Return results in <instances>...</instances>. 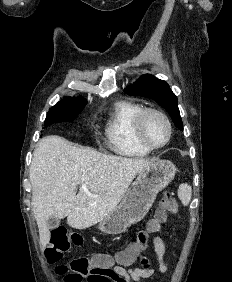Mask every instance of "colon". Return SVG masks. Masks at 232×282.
I'll use <instances>...</instances> for the list:
<instances>
[{
  "label": "colon",
  "mask_w": 232,
  "mask_h": 282,
  "mask_svg": "<svg viewBox=\"0 0 232 282\" xmlns=\"http://www.w3.org/2000/svg\"><path fill=\"white\" fill-rule=\"evenodd\" d=\"M178 212V203L173 193L167 191L164 194L162 204L156 217L150 221L145 230L138 232L135 241L117 255L115 258L105 254H97L92 257H77L70 261L68 265H58L55 272L64 277V282H84L111 273V267L117 262L122 267H128L135 263L141 256V253L148 248L149 237L152 233L158 232L161 225L167 219V213L176 214ZM82 244V238L76 234L68 233L63 227H58L51 232L50 246L45 252L48 263H58L63 254L69 251L73 246Z\"/></svg>",
  "instance_id": "colon-1"
}]
</instances>
